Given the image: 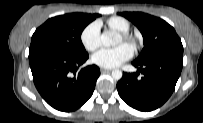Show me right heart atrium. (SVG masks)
I'll return each mask as SVG.
<instances>
[{
  "label": "right heart atrium",
  "mask_w": 203,
  "mask_h": 123,
  "mask_svg": "<svg viewBox=\"0 0 203 123\" xmlns=\"http://www.w3.org/2000/svg\"><path fill=\"white\" fill-rule=\"evenodd\" d=\"M81 42L86 50L94 51L100 46V23L94 21L81 33Z\"/></svg>",
  "instance_id": "d8ad5b80"
}]
</instances>
